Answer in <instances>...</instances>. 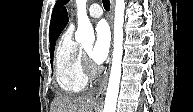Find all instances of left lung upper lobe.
Returning a JSON list of instances; mask_svg holds the SVG:
<instances>
[{
	"label": "left lung upper lobe",
	"mask_w": 193,
	"mask_h": 112,
	"mask_svg": "<svg viewBox=\"0 0 193 112\" xmlns=\"http://www.w3.org/2000/svg\"><path fill=\"white\" fill-rule=\"evenodd\" d=\"M68 2V0H57L56 4L53 8V12H52V17H51V23H50V39L53 37L54 35V28H55V22L57 19V15L61 9V7L66 4Z\"/></svg>",
	"instance_id": "1"
}]
</instances>
